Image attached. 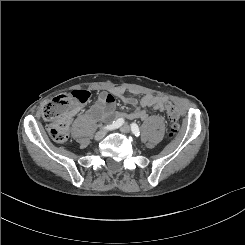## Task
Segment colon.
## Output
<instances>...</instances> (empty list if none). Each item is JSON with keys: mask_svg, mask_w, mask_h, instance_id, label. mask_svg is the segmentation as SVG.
I'll list each match as a JSON object with an SVG mask.
<instances>
[{"mask_svg": "<svg viewBox=\"0 0 245 245\" xmlns=\"http://www.w3.org/2000/svg\"><path fill=\"white\" fill-rule=\"evenodd\" d=\"M90 99V92L75 90L61 94L48 100L42 107V117L48 122L47 131L57 143H64L69 138V126L72 115L78 106L83 105ZM167 117L171 123L169 137H173L180 128L179 110L172 104L165 106Z\"/></svg>", "mask_w": 245, "mask_h": 245, "instance_id": "1", "label": "colon"}]
</instances>
